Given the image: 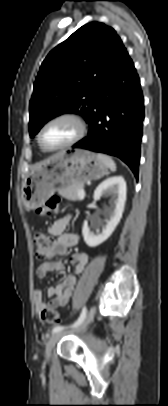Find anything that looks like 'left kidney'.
<instances>
[{
	"instance_id": "5707ae66",
	"label": "left kidney",
	"mask_w": 168,
	"mask_h": 406,
	"mask_svg": "<svg viewBox=\"0 0 168 406\" xmlns=\"http://www.w3.org/2000/svg\"><path fill=\"white\" fill-rule=\"evenodd\" d=\"M103 195L112 197L114 207L109 210V221L102 226V232L95 234L88 226V222L84 221L82 234L85 243L89 247H96L106 241L114 232L116 226L122 218L124 206L126 202V182L122 176H113L103 181L94 191V200H99ZM100 223L92 222L91 227L96 228Z\"/></svg>"
}]
</instances>
